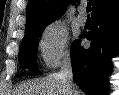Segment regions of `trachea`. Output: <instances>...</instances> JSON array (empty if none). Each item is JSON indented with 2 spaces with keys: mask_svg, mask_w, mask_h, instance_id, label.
Wrapping results in <instances>:
<instances>
[{
  "mask_svg": "<svg viewBox=\"0 0 119 95\" xmlns=\"http://www.w3.org/2000/svg\"><path fill=\"white\" fill-rule=\"evenodd\" d=\"M86 10H87V12H90V11H91V6H90V4L87 5V9H86Z\"/></svg>",
  "mask_w": 119,
  "mask_h": 95,
  "instance_id": "trachea-1",
  "label": "trachea"
}]
</instances>
